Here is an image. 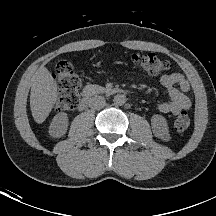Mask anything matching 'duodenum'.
<instances>
[{
  "mask_svg": "<svg viewBox=\"0 0 216 216\" xmlns=\"http://www.w3.org/2000/svg\"><path fill=\"white\" fill-rule=\"evenodd\" d=\"M98 90L96 88H89L82 96L79 102V109H85L90 100L92 99L93 95L96 94ZM105 95H122L125 93L123 89L120 88H109L103 91Z\"/></svg>",
  "mask_w": 216,
  "mask_h": 216,
  "instance_id": "duodenum-1",
  "label": "duodenum"
}]
</instances>
